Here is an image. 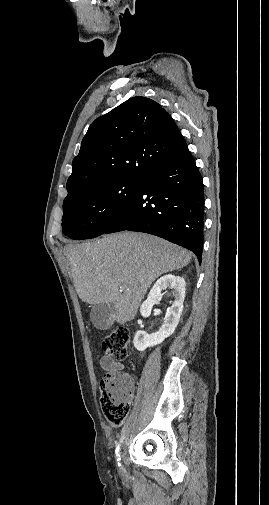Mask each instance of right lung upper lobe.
<instances>
[{
  "label": "right lung upper lobe",
  "mask_w": 269,
  "mask_h": 505,
  "mask_svg": "<svg viewBox=\"0 0 269 505\" xmlns=\"http://www.w3.org/2000/svg\"><path fill=\"white\" fill-rule=\"evenodd\" d=\"M186 148L160 104L146 97L130 98L90 125L73 160L65 200L96 185L140 180Z\"/></svg>",
  "instance_id": "right-lung-upper-lobe-1"
}]
</instances>
